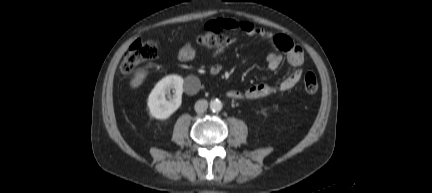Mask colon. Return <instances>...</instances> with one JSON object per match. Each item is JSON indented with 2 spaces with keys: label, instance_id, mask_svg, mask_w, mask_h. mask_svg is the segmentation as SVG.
<instances>
[{
  "label": "colon",
  "instance_id": "1",
  "mask_svg": "<svg viewBox=\"0 0 432 193\" xmlns=\"http://www.w3.org/2000/svg\"><path fill=\"white\" fill-rule=\"evenodd\" d=\"M196 40L206 49H214L222 45L226 38L221 27L216 24H207L196 37ZM158 51V43L156 41L137 39L126 51L119 65L120 73L123 75L131 74L140 63L156 58ZM303 86L306 92L315 93L318 90L316 75L312 72L306 73L303 79Z\"/></svg>",
  "mask_w": 432,
  "mask_h": 193
}]
</instances>
